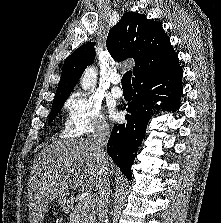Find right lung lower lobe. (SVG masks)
<instances>
[{"instance_id": "1", "label": "right lung lower lobe", "mask_w": 221, "mask_h": 223, "mask_svg": "<svg viewBox=\"0 0 221 223\" xmlns=\"http://www.w3.org/2000/svg\"><path fill=\"white\" fill-rule=\"evenodd\" d=\"M183 71L180 65L160 76L138 79L133 83L134 94L130 103L124 106L129 114L125 124L115 125L107 143V152L127 178H131L134 162L151 118L152 108L161 100L163 111H175L180 107ZM159 110V106H156Z\"/></svg>"}]
</instances>
